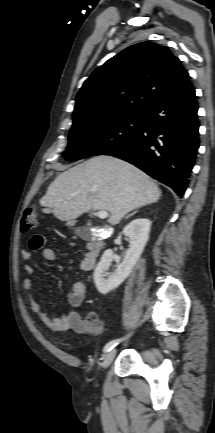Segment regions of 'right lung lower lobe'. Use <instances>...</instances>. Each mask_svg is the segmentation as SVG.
Listing matches in <instances>:
<instances>
[{
	"label": "right lung lower lobe",
	"mask_w": 215,
	"mask_h": 433,
	"mask_svg": "<svg viewBox=\"0 0 215 433\" xmlns=\"http://www.w3.org/2000/svg\"><path fill=\"white\" fill-rule=\"evenodd\" d=\"M197 111L195 89L189 83L143 114L135 139L104 155L135 165L182 196L199 148Z\"/></svg>",
	"instance_id": "98d812e1"
}]
</instances>
